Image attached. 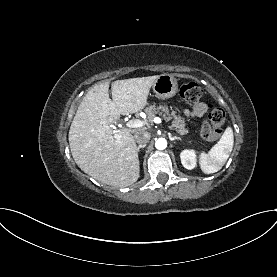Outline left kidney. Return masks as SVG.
<instances>
[{
	"label": "left kidney",
	"mask_w": 277,
	"mask_h": 277,
	"mask_svg": "<svg viewBox=\"0 0 277 277\" xmlns=\"http://www.w3.org/2000/svg\"><path fill=\"white\" fill-rule=\"evenodd\" d=\"M181 163L186 169H194L196 167V154L194 150H183L180 154Z\"/></svg>",
	"instance_id": "5707ae66"
}]
</instances>
